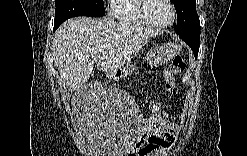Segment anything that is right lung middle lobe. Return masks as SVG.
<instances>
[{"label":"right lung middle lobe","instance_id":"1","mask_svg":"<svg viewBox=\"0 0 247 156\" xmlns=\"http://www.w3.org/2000/svg\"><path fill=\"white\" fill-rule=\"evenodd\" d=\"M54 25L75 16L102 17L105 15L103 0H55Z\"/></svg>","mask_w":247,"mask_h":156}]
</instances>
